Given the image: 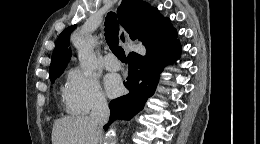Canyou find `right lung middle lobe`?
Returning a JSON list of instances; mask_svg holds the SVG:
<instances>
[{"instance_id": "1", "label": "right lung middle lobe", "mask_w": 260, "mask_h": 144, "mask_svg": "<svg viewBox=\"0 0 260 144\" xmlns=\"http://www.w3.org/2000/svg\"><path fill=\"white\" fill-rule=\"evenodd\" d=\"M63 71L64 70L49 74L50 80L53 82L55 78L59 77L63 73Z\"/></svg>"}]
</instances>
